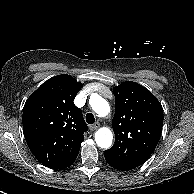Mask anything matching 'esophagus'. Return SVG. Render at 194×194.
<instances>
[{"label": "esophagus", "instance_id": "esophagus-1", "mask_svg": "<svg viewBox=\"0 0 194 194\" xmlns=\"http://www.w3.org/2000/svg\"><path fill=\"white\" fill-rule=\"evenodd\" d=\"M100 124L98 122L90 126V130L93 132L99 128Z\"/></svg>", "mask_w": 194, "mask_h": 194}]
</instances>
